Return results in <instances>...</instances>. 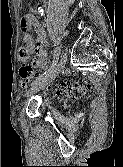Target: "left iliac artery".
<instances>
[{"label":"left iliac artery","instance_id":"1","mask_svg":"<svg viewBox=\"0 0 123 167\" xmlns=\"http://www.w3.org/2000/svg\"><path fill=\"white\" fill-rule=\"evenodd\" d=\"M60 53H61V47H57V48L54 49L52 67H54L57 64V62L59 60ZM49 72H50V70H48V71L44 72L43 74L39 75L36 78V80L32 83V85L35 84L37 81L41 80Z\"/></svg>","mask_w":123,"mask_h":167}]
</instances>
